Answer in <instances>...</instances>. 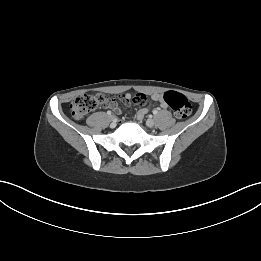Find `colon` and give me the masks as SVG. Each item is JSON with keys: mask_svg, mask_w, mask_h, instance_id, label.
<instances>
[{"mask_svg": "<svg viewBox=\"0 0 261 261\" xmlns=\"http://www.w3.org/2000/svg\"><path fill=\"white\" fill-rule=\"evenodd\" d=\"M163 95L164 101L173 110L175 116L179 119H186L192 111L191 104L188 99L181 93L175 91L165 92ZM130 98H135V95ZM103 94L89 95L81 94L76 96L70 105L72 116L77 119H83L89 112L94 110L98 105L106 101ZM138 106L141 101H138Z\"/></svg>", "mask_w": 261, "mask_h": 261, "instance_id": "5ec220e1", "label": "colon"}]
</instances>
